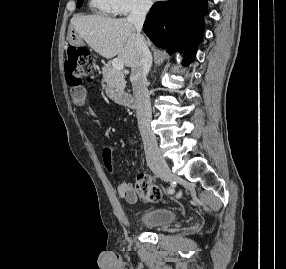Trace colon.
I'll return each mask as SVG.
<instances>
[{
    "label": "colon",
    "instance_id": "5ec220e1",
    "mask_svg": "<svg viewBox=\"0 0 286 269\" xmlns=\"http://www.w3.org/2000/svg\"><path fill=\"white\" fill-rule=\"evenodd\" d=\"M65 71L69 83L74 88L96 82L95 64L90 52L85 48L68 49ZM135 190L138 198L145 202H157L163 195L161 189L152 184L147 174L138 176Z\"/></svg>",
    "mask_w": 286,
    "mask_h": 269
}]
</instances>
